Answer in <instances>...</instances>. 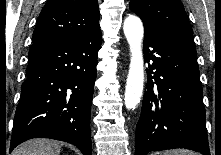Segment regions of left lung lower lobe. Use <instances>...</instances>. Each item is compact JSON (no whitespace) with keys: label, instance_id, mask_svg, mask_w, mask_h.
I'll use <instances>...</instances> for the list:
<instances>
[{"label":"left lung lower lobe","instance_id":"0a47b994","mask_svg":"<svg viewBox=\"0 0 221 155\" xmlns=\"http://www.w3.org/2000/svg\"><path fill=\"white\" fill-rule=\"evenodd\" d=\"M144 56L152 64L136 126V155L173 148L210 155L196 49L145 29Z\"/></svg>","mask_w":221,"mask_h":155}]
</instances>
